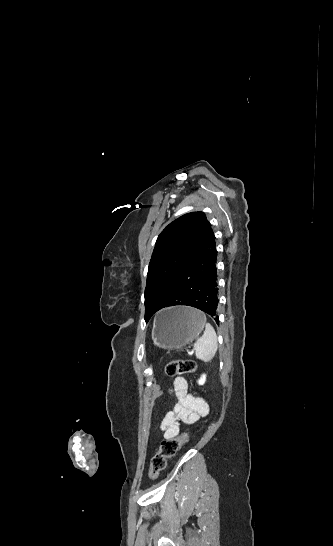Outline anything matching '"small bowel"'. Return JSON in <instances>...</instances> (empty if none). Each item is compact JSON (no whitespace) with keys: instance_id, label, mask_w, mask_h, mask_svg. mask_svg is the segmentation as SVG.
I'll return each mask as SVG.
<instances>
[{"instance_id":"small-bowel-1","label":"small bowel","mask_w":333,"mask_h":546,"mask_svg":"<svg viewBox=\"0 0 333 546\" xmlns=\"http://www.w3.org/2000/svg\"><path fill=\"white\" fill-rule=\"evenodd\" d=\"M173 389L177 402L164 416L160 425L166 439L176 437L182 423L193 425L209 413L208 404L189 393L188 382L185 378L176 377L173 381Z\"/></svg>"}]
</instances>
